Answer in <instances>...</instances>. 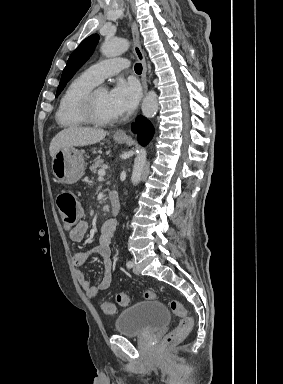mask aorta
<instances>
[{"instance_id": "aorta-1", "label": "aorta", "mask_w": 283, "mask_h": 384, "mask_svg": "<svg viewBox=\"0 0 283 384\" xmlns=\"http://www.w3.org/2000/svg\"><path fill=\"white\" fill-rule=\"evenodd\" d=\"M129 48V43L125 39L105 40L101 46L102 54L107 57L118 56ZM158 111L157 94L151 90L147 93L142 102V113L147 118H152ZM147 151L143 148L135 157L131 181L137 185L141 181L142 172L146 162Z\"/></svg>"}]
</instances>
